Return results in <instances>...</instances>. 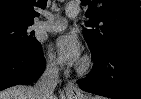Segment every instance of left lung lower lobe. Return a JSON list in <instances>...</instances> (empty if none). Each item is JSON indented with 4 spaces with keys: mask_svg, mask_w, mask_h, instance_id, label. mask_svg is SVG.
<instances>
[{
    "mask_svg": "<svg viewBox=\"0 0 141 99\" xmlns=\"http://www.w3.org/2000/svg\"><path fill=\"white\" fill-rule=\"evenodd\" d=\"M92 57L93 69L77 81L82 90L113 99H141V46L119 44Z\"/></svg>",
    "mask_w": 141,
    "mask_h": 99,
    "instance_id": "1",
    "label": "left lung lower lobe"
}]
</instances>
